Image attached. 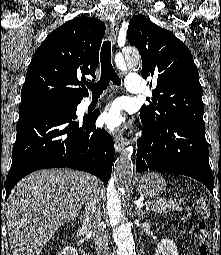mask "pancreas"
Returning <instances> with one entry per match:
<instances>
[{"instance_id": "obj_1", "label": "pancreas", "mask_w": 221, "mask_h": 255, "mask_svg": "<svg viewBox=\"0 0 221 255\" xmlns=\"http://www.w3.org/2000/svg\"><path fill=\"white\" fill-rule=\"evenodd\" d=\"M154 212L159 214L168 213L169 211L177 212L182 210V202L166 201L163 198H156L147 202Z\"/></svg>"}]
</instances>
